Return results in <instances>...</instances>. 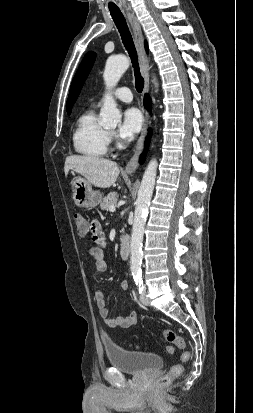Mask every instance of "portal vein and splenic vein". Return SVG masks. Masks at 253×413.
Segmentation results:
<instances>
[{
  "label": "portal vein and splenic vein",
  "mask_w": 253,
  "mask_h": 413,
  "mask_svg": "<svg viewBox=\"0 0 253 413\" xmlns=\"http://www.w3.org/2000/svg\"><path fill=\"white\" fill-rule=\"evenodd\" d=\"M109 210H110L111 212H115L116 207H115L114 205H112V206L109 207Z\"/></svg>",
  "instance_id": "18ae733b"
}]
</instances>
